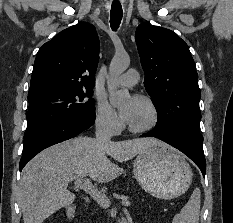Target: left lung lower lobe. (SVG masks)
<instances>
[{"label":"left lung lower lobe","instance_id":"obj_1","mask_svg":"<svg viewBox=\"0 0 233 223\" xmlns=\"http://www.w3.org/2000/svg\"><path fill=\"white\" fill-rule=\"evenodd\" d=\"M144 137H156L177 148L187 155L201 170L206 173V160L203 152V136L200 132L189 130L166 131L153 129L142 134Z\"/></svg>","mask_w":233,"mask_h":223}]
</instances>
